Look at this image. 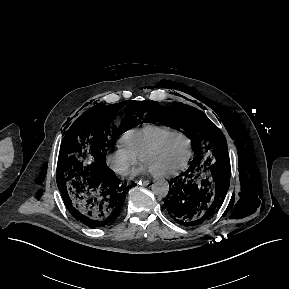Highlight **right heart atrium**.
<instances>
[{
    "mask_svg": "<svg viewBox=\"0 0 289 289\" xmlns=\"http://www.w3.org/2000/svg\"><path fill=\"white\" fill-rule=\"evenodd\" d=\"M106 164L119 176H126L138 162V157L119 143L106 153Z\"/></svg>",
    "mask_w": 289,
    "mask_h": 289,
    "instance_id": "1",
    "label": "right heart atrium"
}]
</instances>
